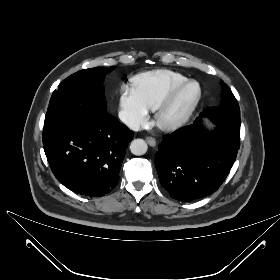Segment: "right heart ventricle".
Listing matches in <instances>:
<instances>
[{
	"instance_id": "e07e8e85",
	"label": "right heart ventricle",
	"mask_w": 280,
	"mask_h": 280,
	"mask_svg": "<svg viewBox=\"0 0 280 280\" xmlns=\"http://www.w3.org/2000/svg\"><path fill=\"white\" fill-rule=\"evenodd\" d=\"M186 80L185 75L168 69L142 72L131 78L132 88L148 110H154L174 86Z\"/></svg>"
}]
</instances>
